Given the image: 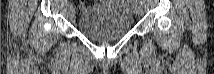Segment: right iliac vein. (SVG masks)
<instances>
[{
  "instance_id": "63e3f726",
  "label": "right iliac vein",
  "mask_w": 214,
  "mask_h": 74,
  "mask_svg": "<svg viewBox=\"0 0 214 74\" xmlns=\"http://www.w3.org/2000/svg\"><path fill=\"white\" fill-rule=\"evenodd\" d=\"M68 15H69V17L72 19L73 17H74V15H75V10H74V8L72 7V6H70L69 7V9H68Z\"/></svg>"
}]
</instances>
